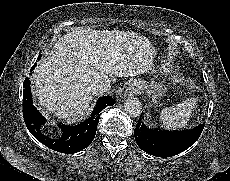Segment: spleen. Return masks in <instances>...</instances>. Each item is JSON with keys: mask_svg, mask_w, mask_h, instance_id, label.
Listing matches in <instances>:
<instances>
[{"mask_svg": "<svg viewBox=\"0 0 230 181\" xmlns=\"http://www.w3.org/2000/svg\"><path fill=\"white\" fill-rule=\"evenodd\" d=\"M196 98H189L175 106L166 107L161 110L160 119L167 129L182 128L187 125L190 114L196 107Z\"/></svg>", "mask_w": 230, "mask_h": 181, "instance_id": "1", "label": "spleen"}]
</instances>
